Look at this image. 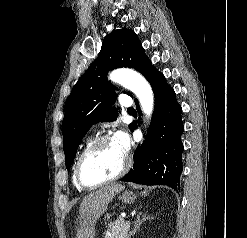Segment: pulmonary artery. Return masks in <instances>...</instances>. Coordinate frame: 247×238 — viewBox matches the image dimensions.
Returning a JSON list of instances; mask_svg holds the SVG:
<instances>
[{
  "label": "pulmonary artery",
  "instance_id": "e3ab8cb5",
  "mask_svg": "<svg viewBox=\"0 0 247 238\" xmlns=\"http://www.w3.org/2000/svg\"><path fill=\"white\" fill-rule=\"evenodd\" d=\"M119 102H120V105H121L122 107H125V108H128V109H129L130 107H132V100H131L130 97H128V96H126V95H122V96L120 97Z\"/></svg>",
  "mask_w": 247,
  "mask_h": 238
}]
</instances>
